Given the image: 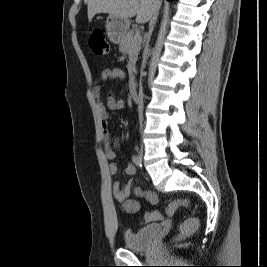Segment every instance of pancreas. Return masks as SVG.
<instances>
[{"label":"pancreas","mask_w":267,"mask_h":267,"mask_svg":"<svg viewBox=\"0 0 267 267\" xmlns=\"http://www.w3.org/2000/svg\"><path fill=\"white\" fill-rule=\"evenodd\" d=\"M135 36V30L132 29L124 35L119 44V51L121 53H127L129 55V63L127 69L130 77H132V73L135 71V63L140 51L141 44V41L138 40Z\"/></svg>","instance_id":"1"}]
</instances>
